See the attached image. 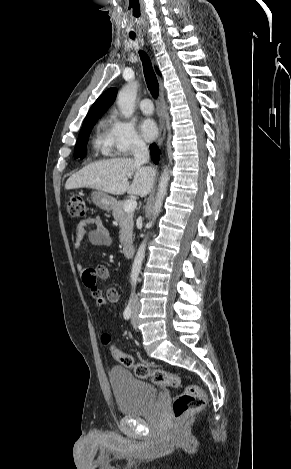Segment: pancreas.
<instances>
[{
    "mask_svg": "<svg viewBox=\"0 0 291 469\" xmlns=\"http://www.w3.org/2000/svg\"><path fill=\"white\" fill-rule=\"evenodd\" d=\"M124 204L125 201H119L113 207V216L115 220L119 223L120 232L119 238L122 245H127L132 242V235H133V216L134 212L124 211Z\"/></svg>",
    "mask_w": 291,
    "mask_h": 469,
    "instance_id": "1",
    "label": "pancreas"
}]
</instances>
